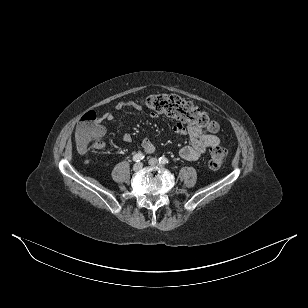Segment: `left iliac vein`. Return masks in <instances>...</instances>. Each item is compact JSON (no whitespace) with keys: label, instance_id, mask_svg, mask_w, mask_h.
Returning <instances> with one entry per match:
<instances>
[{"label":"left iliac vein","instance_id":"1","mask_svg":"<svg viewBox=\"0 0 308 308\" xmlns=\"http://www.w3.org/2000/svg\"><path fill=\"white\" fill-rule=\"evenodd\" d=\"M149 164L151 166H162L161 163H159L157 158H151L149 159Z\"/></svg>","mask_w":308,"mask_h":308}]
</instances>
